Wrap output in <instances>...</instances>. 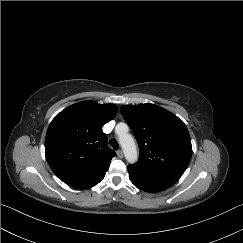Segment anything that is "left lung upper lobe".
<instances>
[{
    "label": "left lung upper lobe",
    "instance_id": "1",
    "mask_svg": "<svg viewBox=\"0 0 243 243\" xmlns=\"http://www.w3.org/2000/svg\"><path fill=\"white\" fill-rule=\"evenodd\" d=\"M121 112L139 146V160L128 166L134 179L182 175L192 146L186 125L170 111L154 104L125 105Z\"/></svg>",
    "mask_w": 243,
    "mask_h": 243
}]
</instances>
